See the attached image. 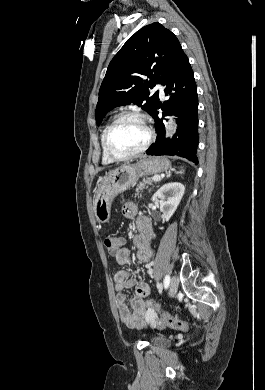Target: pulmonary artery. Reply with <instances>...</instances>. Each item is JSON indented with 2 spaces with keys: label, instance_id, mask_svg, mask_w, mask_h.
Returning a JSON list of instances; mask_svg holds the SVG:
<instances>
[{
  "label": "pulmonary artery",
  "instance_id": "pulmonary-artery-1",
  "mask_svg": "<svg viewBox=\"0 0 265 390\" xmlns=\"http://www.w3.org/2000/svg\"><path fill=\"white\" fill-rule=\"evenodd\" d=\"M155 89H156V90H159L161 97L164 96L163 86H162L161 84H157V85L155 86Z\"/></svg>",
  "mask_w": 265,
  "mask_h": 390
}]
</instances>
